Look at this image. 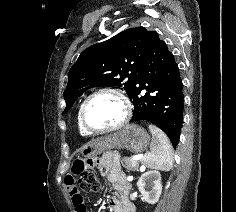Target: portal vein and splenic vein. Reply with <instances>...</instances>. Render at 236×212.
<instances>
[{
	"instance_id": "portal-vein-and-splenic-vein-1",
	"label": "portal vein and splenic vein",
	"mask_w": 236,
	"mask_h": 212,
	"mask_svg": "<svg viewBox=\"0 0 236 212\" xmlns=\"http://www.w3.org/2000/svg\"><path fill=\"white\" fill-rule=\"evenodd\" d=\"M142 158V155L141 154H139V155H133L132 157H131V159H133V160H139V159H141Z\"/></svg>"
}]
</instances>
